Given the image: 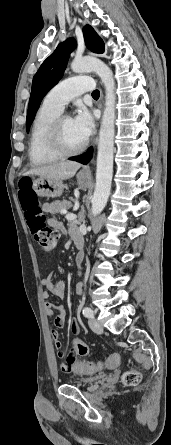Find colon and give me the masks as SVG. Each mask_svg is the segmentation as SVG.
Here are the masks:
<instances>
[{"label": "colon", "instance_id": "obj_1", "mask_svg": "<svg viewBox=\"0 0 171 445\" xmlns=\"http://www.w3.org/2000/svg\"><path fill=\"white\" fill-rule=\"evenodd\" d=\"M18 198L27 226L37 242L40 251L44 253L52 252L59 242L60 234L58 230L52 228L47 223L46 215L40 207L38 196L35 191L31 189L27 181L22 183L18 192ZM72 344L80 356L88 355L89 350L82 341L74 340ZM116 360L117 358L114 354L108 357L110 364H114ZM102 367L103 364L101 362H86L75 364L73 370L80 374L90 375L96 373ZM140 381L141 373L136 369L125 371L122 375V382L126 386H136Z\"/></svg>", "mask_w": 171, "mask_h": 445}]
</instances>
